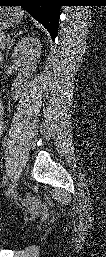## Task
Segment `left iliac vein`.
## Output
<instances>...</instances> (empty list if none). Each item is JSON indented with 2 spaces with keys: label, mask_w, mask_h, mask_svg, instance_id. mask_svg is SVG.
Segmentation results:
<instances>
[{
  "label": "left iliac vein",
  "mask_w": 106,
  "mask_h": 257,
  "mask_svg": "<svg viewBox=\"0 0 106 257\" xmlns=\"http://www.w3.org/2000/svg\"><path fill=\"white\" fill-rule=\"evenodd\" d=\"M17 185H18V178L15 177L12 182L10 183V186L8 188V196H13L16 192V189H17Z\"/></svg>",
  "instance_id": "obj_1"
}]
</instances>
